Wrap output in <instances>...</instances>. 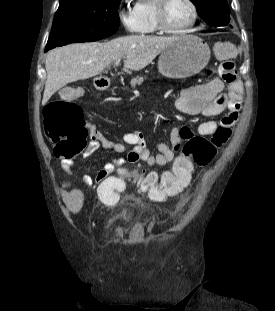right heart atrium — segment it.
Here are the masks:
<instances>
[{
    "instance_id": "d8ad5b80",
    "label": "right heart atrium",
    "mask_w": 275,
    "mask_h": 311,
    "mask_svg": "<svg viewBox=\"0 0 275 311\" xmlns=\"http://www.w3.org/2000/svg\"><path fill=\"white\" fill-rule=\"evenodd\" d=\"M126 0H121L117 8V16L122 27L129 33H137L141 24L133 9L126 5Z\"/></svg>"
}]
</instances>
